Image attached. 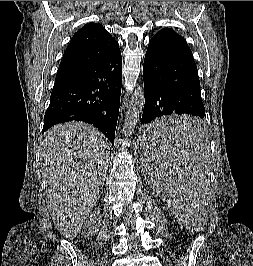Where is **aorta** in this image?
I'll use <instances>...</instances> for the list:
<instances>
[{"instance_id":"obj_1","label":"aorta","mask_w":253,"mask_h":266,"mask_svg":"<svg viewBox=\"0 0 253 266\" xmlns=\"http://www.w3.org/2000/svg\"><path fill=\"white\" fill-rule=\"evenodd\" d=\"M145 94L142 87H138L132 96L131 104L129 105L125 121H124V135L132 134L142 111L144 105Z\"/></svg>"}]
</instances>
